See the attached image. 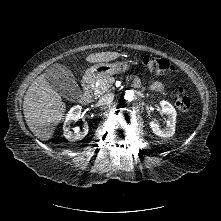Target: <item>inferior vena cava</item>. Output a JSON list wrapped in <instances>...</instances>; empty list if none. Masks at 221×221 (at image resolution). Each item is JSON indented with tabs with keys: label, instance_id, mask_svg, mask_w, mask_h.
I'll return each instance as SVG.
<instances>
[{
	"label": "inferior vena cava",
	"instance_id": "inferior-vena-cava-1",
	"mask_svg": "<svg viewBox=\"0 0 221 221\" xmlns=\"http://www.w3.org/2000/svg\"><path fill=\"white\" fill-rule=\"evenodd\" d=\"M113 100H114V94L113 93H108V94L103 95L100 98L99 103L101 105H106V104H110Z\"/></svg>",
	"mask_w": 221,
	"mask_h": 221
}]
</instances>
